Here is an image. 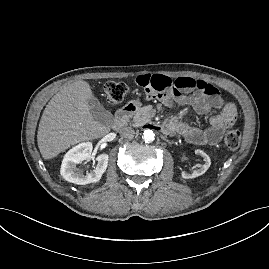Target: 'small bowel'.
Returning <instances> with one entry per match:
<instances>
[{"instance_id":"small-bowel-1","label":"small bowel","mask_w":269,"mask_h":269,"mask_svg":"<svg viewBox=\"0 0 269 269\" xmlns=\"http://www.w3.org/2000/svg\"><path fill=\"white\" fill-rule=\"evenodd\" d=\"M142 86L146 96L161 102L176 100L181 104H190L199 114H206L212 109L218 114L210 119L209 126L200 129L189 124L168 118L165 122L170 126L169 132H178L192 144H216L223 131L232 126L237 118V108L233 103L223 100L218 90L202 80L190 77L167 78L163 74L141 75L136 79ZM195 90L193 93L192 91Z\"/></svg>"}]
</instances>
